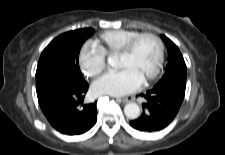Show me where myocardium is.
<instances>
[{
	"label": "myocardium",
	"instance_id": "obj_1",
	"mask_svg": "<svg viewBox=\"0 0 225 155\" xmlns=\"http://www.w3.org/2000/svg\"><path fill=\"white\" fill-rule=\"evenodd\" d=\"M151 38L153 39L156 44H157V49H158V55H157V61L156 65L153 69V71L143 80L144 83H148L155 79L158 74L160 73V70L163 65V60H164V45L160 37H158L156 34L151 33V32H144V33H139L138 35L134 36L131 38L125 46L121 49V51L118 53L119 56H127L130 55L133 50L135 49L137 43L143 39V38Z\"/></svg>",
	"mask_w": 225,
	"mask_h": 155
}]
</instances>
